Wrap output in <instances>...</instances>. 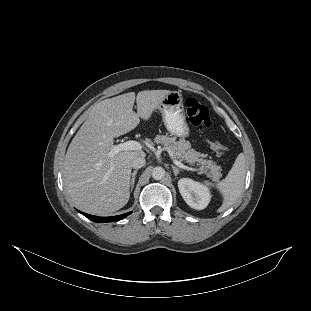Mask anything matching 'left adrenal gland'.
I'll return each mask as SVG.
<instances>
[{"label":"left adrenal gland","instance_id":"obj_1","mask_svg":"<svg viewBox=\"0 0 311 311\" xmlns=\"http://www.w3.org/2000/svg\"><path fill=\"white\" fill-rule=\"evenodd\" d=\"M171 167H172V169H173L174 175L177 176V175L179 174V172H180V169L177 168V167L174 166V165H171Z\"/></svg>","mask_w":311,"mask_h":311}]
</instances>
